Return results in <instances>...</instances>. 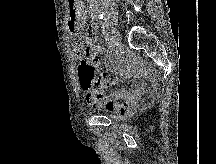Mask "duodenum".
Returning <instances> with one entry per match:
<instances>
[{
	"mask_svg": "<svg viewBox=\"0 0 216 164\" xmlns=\"http://www.w3.org/2000/svg\"><path fill=\"white\" fill-rule=\"evenodd\" d=\"M70 8L75 9V0H69ZM91 14L94 18H97L99 15V5L96 2L91 4Z\"/></svg>",
	"mask_w": 216,
	"mask_h": 164,
	"instance_id": "obj_1",
	"label": "duodenum"
}]
</instances>
